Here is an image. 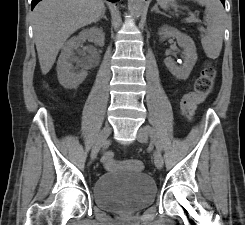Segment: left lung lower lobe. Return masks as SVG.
Instances as JSON below:
<instances>
[{
  "instance_id": "0a47b994",
  "label": "left lung lower lobe",
  "mask_w": 245,
  "mask_h": 225,
  "mask_svg": "<svg viewBox=\"0 0 245 225\" xmlns=\"http://www.w3.org/2000/svg\"><path fill=\"white\" fill-rule=\"evenodd\" d=\"M222 2V4L225 6V0H220Z\"/></svg>"
}]
</instances>
